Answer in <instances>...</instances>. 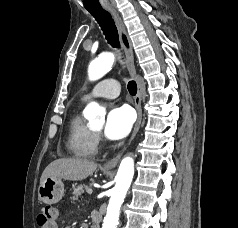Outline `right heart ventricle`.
<instances>
[{"label":"right heart ventricle","mask_w":238,"mask_h":228,"mask_svg":"<svg viewBox=\"0 0 238 228\" xmlns=\"http://www.w3.org/2000/svg\"><path fill=\"white\" fill-rule=\"evenodd\" d=\"M98 139L93 129L86 123L79 110H75L69 120L67 147L69 152L81 158L96 155Z\"/></svg>","instance_id":"obj_1"}]
</instances>
